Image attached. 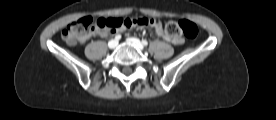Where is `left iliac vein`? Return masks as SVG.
<instances>
[{"instance_id": "4c4485c4", "label": "left iliac vein", "mask_w": 276, "mask_h": 120, "mask_svg": "<svg viewBox=\"0 0 276 120\" xmlns=\"http://www.w3.org/2000/svg\"><path fill=\"white\" fill-rule=\"evenodd\" d=\"M127 43L131 44V45H134L135 47H137L139 50H143L144 49V46L143 44L140 42L139 39L137 38H134V37H130V38H127Z\"/></svg>"}]
</instances>
